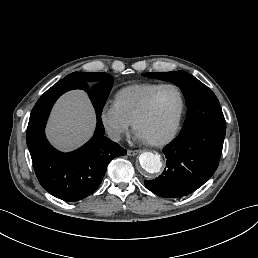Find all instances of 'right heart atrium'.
<instances>
[{"mask_svg": "<svg viewBox=\"0 0 258 258\" xmlns=\"http://www.w3.org/2000/svg\"><path fill=\"white\" fill-rule=\"evenodd\" d=\"M100 119L105 130L113 136L126 132L130 126L129 121L122 115L114 103L103 108Z\"/></svg>", "mask_w": 258, "mask_h": 258, "instance_id": "obj_1", "label": "right heart atrium"}]
</instances>
